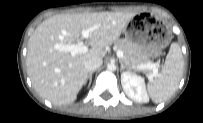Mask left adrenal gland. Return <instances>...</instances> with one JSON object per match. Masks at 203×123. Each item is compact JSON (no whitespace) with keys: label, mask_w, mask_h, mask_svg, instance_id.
Instances as JSON below:
<instances>
[{"label":"left adrenal gland","mask_w":203,"mask_h":123,"mask_svg":"<svg viewBox=\"0 0 203 123\" xmlns=\"http://www.w3.org/2000/svg\"><path fill=\"white\" fill-rule=\"evenodd\" d=\"M121 67H120V71L124 70L125 68L130 69L122 60H119Z\"/></svg>","instance_id":"obj_1"}]
</instances>
